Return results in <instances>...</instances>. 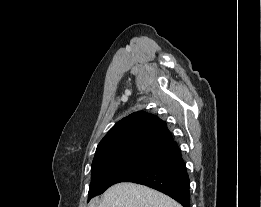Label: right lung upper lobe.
I'll use <instances>...</instances> for the list:
<instances>
[{"label":"right lung upper lobe","instance_id":"right-lung-upper-lobe-1","mask_svg":"<svg viewBox=\"0 0 261 207\" xmlns=\"http://www.w3.org/2000/svg\"><path fill=\"white\" fill-rule=\"evenodd\" d=\"M181 153L166 123L138 111L117 122L98 144L92 165L140 157L158 162Z\"/></svg>","mask_w":261,"mask_h":207}]
</instances>
